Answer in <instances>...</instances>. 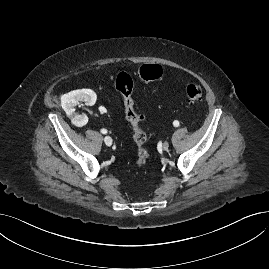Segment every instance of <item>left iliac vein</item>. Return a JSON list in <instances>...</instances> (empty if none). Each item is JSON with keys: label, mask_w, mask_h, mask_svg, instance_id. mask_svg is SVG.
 I'll list each match as a JSON object with an SVG mask.
<instances>
[{"label": "left iliac vein", "mask_w": 269, "mask_h": 269, "mask_svg": "<svg viewBox=\"0 0 269 269\" xmlns=\"http://www.w3.org/2000/svg\"><path fill=\"white\" fill-rule=\"evenodd\" d=\"M164 150H167L169 148V143L168 142H164L162 145Z\"/></svg>", "instance_id": "left-iliac-vein-1"}]
</instances>
